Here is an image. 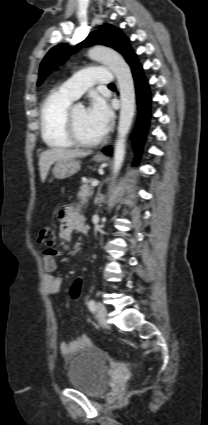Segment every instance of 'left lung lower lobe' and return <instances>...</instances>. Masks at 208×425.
<instances>
[{"label":"left lung lower lobe","instance_id":"left-lung-lower-lobe-1","mask_svg":"<svg viewBox=\"0 0 208 425\" xmlns=\"http://www.w3.org/2000/svg\"><path fill=\"white\" fill-rule=\"evenodd\" d=\"M130 67H131L134 81H135L137 104H138V110H139L136 129L132 135V139H133V145L135 147L137 155L139 156L141 147L143 145L144 138L148 129V125H149L150 92L147 85V81L142 71V67L139 61L137 60V58L130 63ZM103 152L106 154H109L110 149L104 148Z\"/></svg>","mask_w":208,"mask_h":425}]
</instances>
